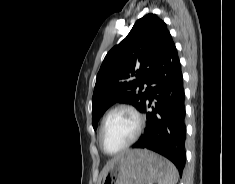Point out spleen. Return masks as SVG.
Returning <instances> with one entry per match:
<instances>
[{
  "label": "spleen",
  "mask_w": 235,
  "mask_h": 184,
  "mask_svg": "<svg viewBox=\"0 0 235 184\" xmlns=\"http://www.w3.org/2000/svg\"><path fill=\"white\" fill-rule=\"evenodd\" d=\"M179 178L178 170L172 162L166 160L165 174L158 184H177Z\"/></svg>",
  "instance_id": "spleen-1"
}]
</instances>
